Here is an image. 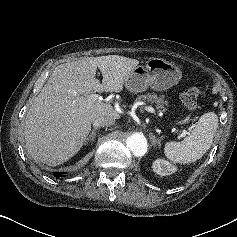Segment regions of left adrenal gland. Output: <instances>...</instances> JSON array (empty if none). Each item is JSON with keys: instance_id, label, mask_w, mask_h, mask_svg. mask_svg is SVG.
<instances>
[{"instance_id": "left-adrenal-gland-1", "label": "left adrenal gland", "mask_w": 237, "mask_h": 237, "mask_svg": "<svg viewBox=\"0 0 237 237\" xmlns=\"http://www.w3.org/2000/svg\"><path fill=\"white\" fill-rule=\"evenodd\" d=\"M149 138H150L151 144H152L153 146H158V147H160L161 139L156 138V137L153 135V133H151V132L149 133Z\"/></svg>"}]
</instances>
